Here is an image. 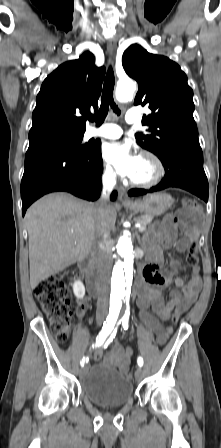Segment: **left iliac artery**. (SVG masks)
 Returning <instances> with one entry per match:
<instances>
[{
  "label": "left iliac artery",
  "mask_w": 221,
  "mask_h": 448,
  "mask_svg": "<svg viewBox=\"0 0 221 448\" xmlns=\"http://www.w3.org/2000/svg\"><path fill=\"white\" fill-rule=\"evenodd\" d=\"M128 320H129V314H126L125 313V315L122 317V319L119 321L120 323H121V321H122V326H123V328L126 330V329H128ZM137 363H138V365L140 366V367H142L143 366V359H142V357H138V359H137Z\"/></svg>",
  "instance_id": "left-iliac-artery-1"
}]
</instances>
